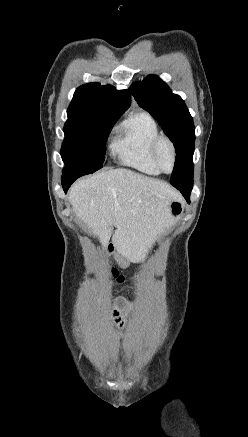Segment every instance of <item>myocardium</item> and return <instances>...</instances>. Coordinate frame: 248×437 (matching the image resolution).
I'll return each instance as SVG.
<instances>
[{
    "instance_id": "myocardium-1",
    "label": "myocardium",
    "mask_w": 248,
    "mask_h": 437,
    "mask_svg": "<svg viewBox=\"0 0 248 437\" xmlns=\"http://www.w3.org/2000/svg\"><path fill=\"white\" fill-rule=\"evenodd\" d=\"M167 145L171 151L172 154V165L170 170H166L163 168V166L161 165L160 162V150L162 148L163 145ZM151 157L152 160L155 164V166L158 168V170L161 173H165V174H169L171 172H173V170L175 169L176 166V162H177V151H176V147L174 142L167 136L164 135H160L159 137H157L151 147Z\"/></svg>"
}]
</instances>
